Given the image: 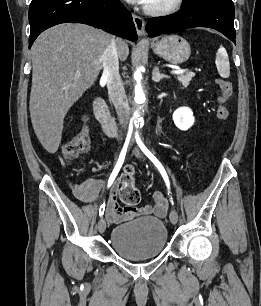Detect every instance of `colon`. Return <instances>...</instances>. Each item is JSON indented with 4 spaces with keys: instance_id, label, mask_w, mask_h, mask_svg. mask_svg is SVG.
<instances>
[{
    "instance_id": "colon-1",
    "label": "colon",
    "mask_w": 261,
    "mask_h": 306,
    "mask_svg": "<svg viewBox=\"0 0 261 306\" xmlns=\"http://www.w3.org/2000/svg\"><path fill=\"white\" fill-rule=\"evenodd\" d=\"M220 95L217 99L218 106L216 108V116L221 120L229 117V110L224 105L225 101L233 92V85L230 81L219 80ZM90 146V137L86 129L81 130L76 136L69 140L63 148L64 158L68 161L78 158L85 153ZM121 187L119 196L126 208L133 209L140 202V192L135 184V173L132 166H126L120 177Z\"/></svg>"
}]
</instances>
